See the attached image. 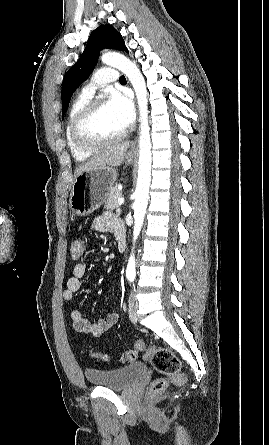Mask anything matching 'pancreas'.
Masks as SVG:
<instances>
[{"mask_svg": "<svg viewBox=\"0 0 269 445\" xmlns=\"http://www.w3.org/2000/svg\"><path fill=\"white\" fill-rule=\"evenodd\" d=\"M117 186L118 185L115 184L108 193L105 200V209L114 210L119 206L117 200L118 198L122 197V193L117 189Z\"/></svg>", "mask_w": 269, "mask_h": 445, "instance_id": "obj_1", "label": "pancreas"}]
</instances>
